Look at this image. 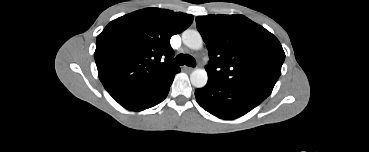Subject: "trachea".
Masks as SVG:
<instances>
[{
  "instance_id": "1",
  "label": "trachea",
  "mask_w": 369,
  "mask_h": 152,
  "mask_svg": "<svg viewBox=\"0 0 369 152\" xmlns=\"http://www.w3.org/2000/svg\"><path fill=\"white\" fill-rule=\"evenodd\" d=\"M174 63L176 65H187L189 67H195L196 66V61L195 59L188 55V54H179L178 56H176Z\"/></svg>"
}]
</instances>
